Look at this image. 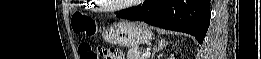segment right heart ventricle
<instances>
[{
	"mask_svg": "<svg viewBox=\"0 0 261 59\" xmlns=\"http://www.w3.org/2000/svg\"><path fill=\"white\" fill-rule=\"evenodd\" d=\"M92 9H97V8H95V7H91Z\"/></svg>",
	"mask_w": 261,
	"mask_h": 59,
	"instance_id": "obj_1",
	"label": "right heart ventricle"
}]
</instances>
